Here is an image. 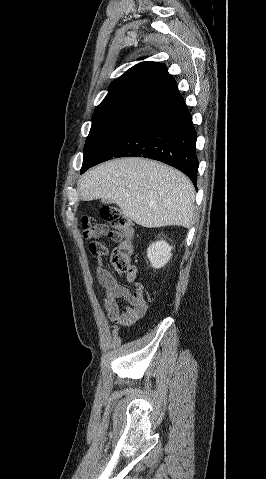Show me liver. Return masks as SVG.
I'll use <instances>...</instances> for the list:
<instances>
[{
  "label": "liver",
  "instance_id": "6515ba94",
  "mask_svg": "<svg viewBox=\"0 0 266 479\" xmlns=\"http://www.w3.org/2000/svg\"><path fill=\"white\" fill-rule=\"evenodd\" d=\"M80 199H109L124 216L146 228L194 223L195 189L180 171L144 158L115 159L88 171Z\"/></svg>",
  "mask_w": 266,
  "mask_h": 479
}]
</instances>
